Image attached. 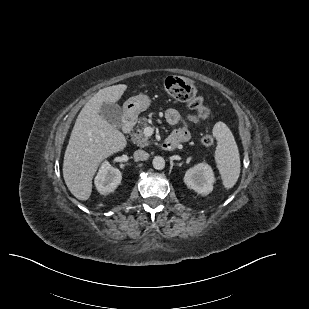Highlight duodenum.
<instances>
[{
  "label": "duodenum",
  "mask_w": 309,
  "mask_h": 309,
  "mask_svg": "<svg viewBox=\"0 0 309 309\" xmlns=\"http://www.w3.org/2000/svg\"><path fill=\"white\" fill-rule=\"evenodd\" d=\"M135 124V117L132 114H126L123 118V125H122V130L124 133L128 134L130 131L133 129V126ZM178 140L174 138H167L163 144L162 147L164 150L171 151L176 148L178 144Z\"/></svg>",
  "instance_id": "obj_1"
}]
</instances>
